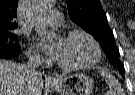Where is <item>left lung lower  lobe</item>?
Here are the masks:
<instances>
[{
	"label": "left lung lower lobe",
	"mask_w": 135,
	"mask_h": 95,
	"mask_svg": "<svg viewBox=\"0 0 135 95\" xmlns=\"http://www.w3.org/2000/svg\"><path fill=\"white\" fill-rule=\"evenodd\" d=\"M119 71H120V73H121V75H122V77H124V68L122 69H118Z\"/></svg>",
	"instance_id": "left-lung-lower-lobe-1"
}]
</instances>
